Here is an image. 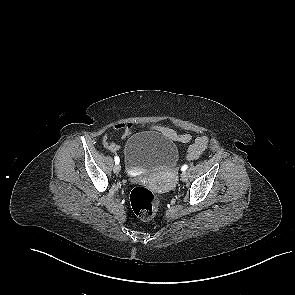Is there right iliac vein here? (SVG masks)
<instances>
[{
    "mask_svg": "<svg viewBox=\"0 0 295 295\" xmlns=\"http://www.w3.org/2000/svg\"><path fill=\"white\" fill-rule=\"evenodd\" d=\"M120 165L119 164H115L113 167V171L114 173L118 174L120 172Z\"/></svg>",
    "mask_w": 295,
    "mask_h": 295,
    "instance_id": "right-iliac-vein-1",
    "label": "right iliac vein"
}]
</instances>
